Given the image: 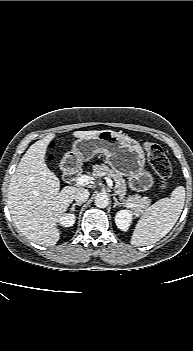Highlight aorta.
<instances>
[{
	"label": "aorta",
	"instance_id": "1",
	"mask_svg": "<svg viewBox=\"0 0 193 351\" xmlns=\"http://www.w3.org/2000/svg\"><path fill=\"white\" fill-rule=\"evenodd\" d=\"M94 203L98 208H106L109 204V198L106 194L100 193L95 196Z\"/></svg>",
	"mask_w": 193,
	"mask_h": 351
}]
</instances>
